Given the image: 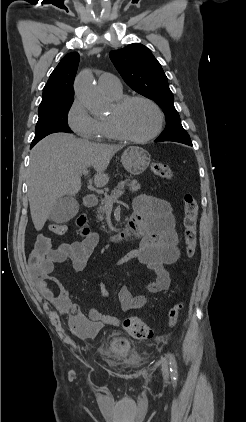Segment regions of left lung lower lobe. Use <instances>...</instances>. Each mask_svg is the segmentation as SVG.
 Returning <instances> with one entry per match:
<instances>
[{
	"label": "left lung lower lobe",
	"mask_w": 246,
	"mask_h": 422,
	"mask_svg": "<svg viewBox=\"0 0 246 422\" xmlns=\"http://www.w3.org/2000/svg\"><path fill=\"white\" fill-rule=\"evenodd\" d=\"M155 142H158V141H156V140H155ZM184 144H187V145H190V146H192V143H191V141H189V142H185Z\"/></svg>",
	"instance_id": "left-lung-lower-lobe-1"
}]
</instances>
